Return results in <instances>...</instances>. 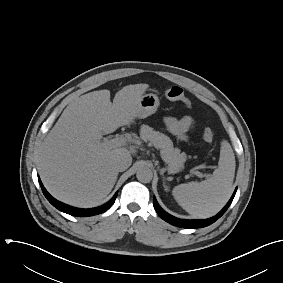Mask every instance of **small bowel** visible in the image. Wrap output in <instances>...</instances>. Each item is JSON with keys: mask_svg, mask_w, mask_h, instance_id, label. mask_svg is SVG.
<instances>
[{"mask_svg": "<svg viewBox=\"0 0 283 283\" xmlns=\"http://www.w3.org/2000/svg\"><path fill=\"white\" fill-rule=\"evenodd\" d=\"M164 123L170 133L182 140L186 139L188 132L193 128L194 124L190 116H184L180 119L166 117Z\"/></svg>", "mask_w": 283, "mask_h": 283, "instance_id": "small-bowel-1", "label": "small bowel"}]
</instances>
